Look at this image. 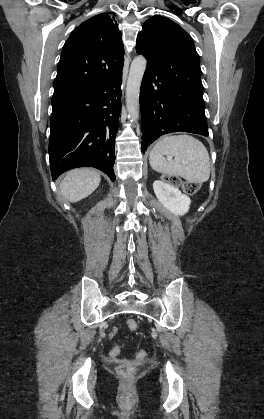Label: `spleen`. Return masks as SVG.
I'll use <instances>...</instances> for the list:
<instances>
[{
    "instance_id": "spleen-1",
    "label": "spleen",
    "mask_w": 264,
    "mask_h": 419,
    "mask_svg": "<svg viewBox=\"0 0 264 419\" xmlns=\"http://www.w3.org/2000/svg\"><path fill=\"white\" fill-rule=\"evenodd\" d=\"M149 161L153 170L180 176L188 182L203 183L210 177L208 151L201 141L190 135L162 138L151 150Z\"/></svg>"
}]
</instances>
